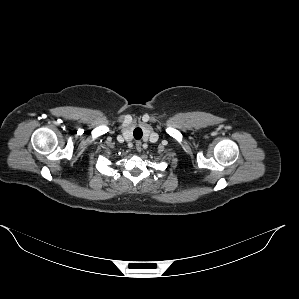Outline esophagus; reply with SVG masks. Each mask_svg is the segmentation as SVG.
<instances>
[{
	"instance_id": "esophagus-1",
	"label": "esophagus",
	"mask_w": 299,
	"mask_h": 299,
	"mask_svg": "<svg viewBox=\"0 0 299 299\" xmlns=\"http://www.w3.org/2000/svg\"><path fill=\"white\" fill-rule=\"evenodd\" d=\"M141 145H142L141 141L136 142V149H137L138 152H140L142 150Z\"/></svg>"
}]
</instances>
